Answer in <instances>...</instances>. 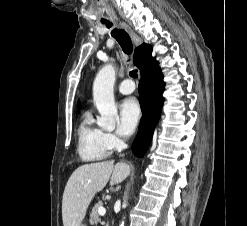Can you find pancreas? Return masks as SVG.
<instances>
[{
  "label": "pancreas",
  "instance_id": "obj_1",
  "mask_svg": "<svg viewBox=\"0 0 247 226\" xmlns=\"http://www.w3.org/2000/svg\"><path fill=\"white\" fill-rule=\"evenodd\" d=\"M102 207V202H98L95 204V206L92 209V212L90 214V221L91 223H98L100 221L99 213H98V208Z\"/></svg>",
  "mask_w": 247,
  "mask_h": 226
}]
</instances>
